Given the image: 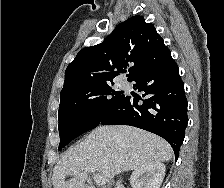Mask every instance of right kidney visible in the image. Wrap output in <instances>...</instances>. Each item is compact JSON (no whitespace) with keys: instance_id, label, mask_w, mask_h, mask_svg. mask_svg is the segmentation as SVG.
Segmentation results:
<instances>
[{"instance_id":"obj_1","label":"right kidney","mask_w":224,"mask_h":188,"mask_svg":"<svg viewBox=\"0 0 224 188\" xmlns=\"http://www.w3.org/2000/svg\"><path fill=\"white\" fill-rule=\"evenodd\" d=\"M166 167L161 162L145 164L132 173L130 184L132 188H160Z\"/></svg>"}]
</instances>
